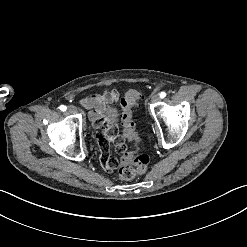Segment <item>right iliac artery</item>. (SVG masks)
<instances>
[{"instance_id":"82829eb1","label":"right iliac artery","mask_w":247,"mask_h":247,"mask_svg":"<svg viewBox=\"0 0 247 247\" xmlns=\"http://www.w3.org/2000/svg\"><path fill=\"white\" fill-rule=\"evenodd\" d=\"M59 109H60L61 111H66V110H67V107H66L65 105H61V106L59 107Z\"/></svg>"}]
</instances>
